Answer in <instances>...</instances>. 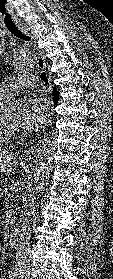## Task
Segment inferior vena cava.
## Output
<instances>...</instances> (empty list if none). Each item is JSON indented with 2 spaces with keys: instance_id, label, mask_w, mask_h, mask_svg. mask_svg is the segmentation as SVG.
<instances>
[{
  "instance_id": "obj_1",
  "label": "inferior vena cava",
  "mask_w": 113,
  "mask_h": 279,
  "mask_svg": "<svg viewBox=\"0 0 113 279\" xmlns=\"http://www.w3.org/2000/svg\"><path fill=\"white\" fill-rule=\"evenodd\" d=\"M23 222L21 225V238L17 248L15 268L20 274L30 273L29 253H30V238L31 228L29 222V213L27 212V205L24 206Z\"/></svg>"
}]
</instances>
